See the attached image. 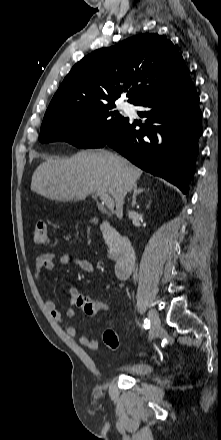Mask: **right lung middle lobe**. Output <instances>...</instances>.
<instances>
[{
    "label": "right lung middle lobe",
    "mask_w": 221,
    "mask_h": 440,
    "mask_svg": "<svg viewBox=\"0 0 221 440\" xmlns=\"http://www.w3.org/2000/svg\"><path fill=\"white\" fill-rule=\"evenodd\" d=\"M114 103L96 107L75 104L46 111L39 141H67L78 148H101L128 120Z\"/></svg>",
    "instance_id": "obj_1"
}]
</instances>
